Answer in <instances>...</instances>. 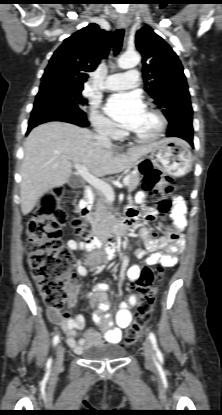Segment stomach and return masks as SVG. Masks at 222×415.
<instances>
[{"instance_id": "1", "label": "stomach", "mask_w": 222, "mask_h": 415, "mask_svg": "<svg viewBox=\"0 0 222 415\" xmlns=\"http://www.w3.org/2000/svg\"><path fill=\"white\" fill-rule=\"evenodd\" d=\"M147 158L155 167L174 177L186 175L193 164L189 145L177 138L158 141Z\"/></svg>"}]
</instances>
